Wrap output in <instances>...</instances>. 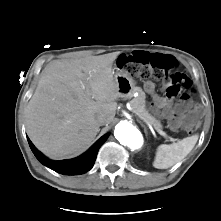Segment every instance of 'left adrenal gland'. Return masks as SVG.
<instances>
[{"label": "left adrenal gland", "instance_id": "left-adrenal-gland-1", "mask_svg": "<svg viewBox=\"0 0 221 221\" xmlns=\"http://www.w3.org/2000/svg\"><path fill=\"white\" fill-rule=\"evenodd\" d=\"M142 126L144 127V131H145V133L147 132V129H146V127L142 124Z\"/></svg>", "mask_w": 221, "mask_h": 221}]
</instances>
